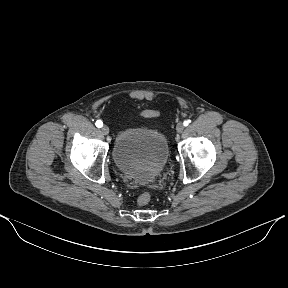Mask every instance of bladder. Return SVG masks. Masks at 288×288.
Here are the masks:
<instances>
[{
  "label": "bladder",
  "instance_id": "bladder-1",
  "mask_svg": "<svg viewBox=\"0 0 288 288\" xmlns=\"http://www.w3.org/2000/svg\"><path fill=\"white\" fill-rule=\"evenodd\" d=\"M112 155L116 166L140 184L152 182L163 170L169 147L163 132L151 127H127L116 135Z\"/></svg>",
  "mask_w": 288,
  "mask_h": 288
}]
</instances>
